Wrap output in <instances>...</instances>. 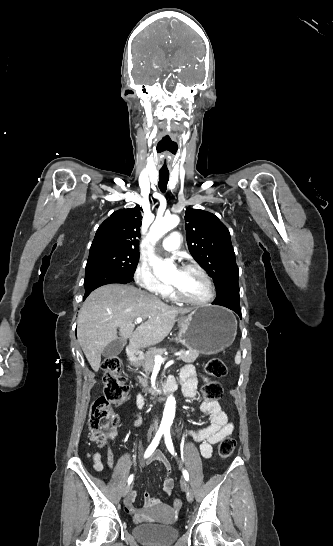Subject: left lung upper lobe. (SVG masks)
<instances>
[{
  "label": "left lung upper lobe",
  "instance_id": "1",
  "mask_svg": "<svg viewBox=\"0 0 333 546\" xmlns=\"http://www.w3.org/2000/svg\"><path fill=\"white\" fill-rule=\"evenodd\" d=\"M185 229L189 252L212 277L217 297L239 286L230 233L218 217L207 211L189 209L185 213Z\"/></svg>",
  "mask_w": 333,
  "mask_h": 546
}]
</instances>
